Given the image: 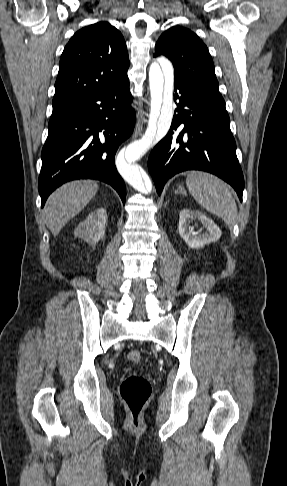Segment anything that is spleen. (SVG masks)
Returning <instances> with one entry per match:
<instances>
[{"label":"spleen","instance_id":"3e777b00","mask_svg":"<svg viewBox=\"0 0 287 486\" xmlns=\"http://www.w3.org/2000/svg\"><path fill=\"white\" fill-rule=\"evenodd\" d=\"M186 185L204 209L222 218L229 226L235 224L237 205L224 181L209 173L193 171L187 176Z\"/></svg>","mask_w":287,"mask_h":486}]
</instances>
